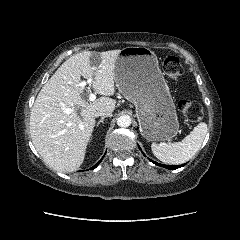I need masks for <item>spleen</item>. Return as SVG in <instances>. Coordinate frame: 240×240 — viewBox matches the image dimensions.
Segmentation results:
<instances>
[{
  "mask_svg": "<svg viewBox=\"0 0 240 240\" xmlns=\"http://www.w3.org/2000/svg\"><path fill=\"white\" fill-rule=\"evenodd\" d=\"M207 124L199 123L181 142L172 144L153 143L151 150L154 156L166 164H182L190 160L200 149L206 133Z\"/></svg>",
  "mask_w": 240,
  "mask_h": 240,
  "instance_id": "spleen-1",
  "label": "spleen"
}]
</instances>
